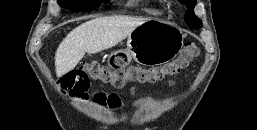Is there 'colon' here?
<instances>
[{"label":"colon","mask_w":257,"mask_h":130,"mask_svg":"<svg viewBox=\"0 0 257 130\" xmlns=\"http://www.w3.org/2000/svg\"><path fill=\"white\" fill-rule=\"evenodd\" d=\"M198 54V47L194 43H187L175 59L161 66H130L126 70H114L101 66L97 62H90L61 77L58 87L63 93L83 98L87 96L91 80L111 84L117 88L123 87L128 82L156 83L167 76L179 73Z\"/></svg>","instance_id":"obj_1"}]
</instances>
